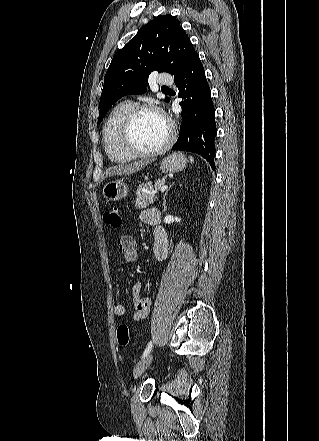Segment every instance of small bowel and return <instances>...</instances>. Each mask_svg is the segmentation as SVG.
<instances>
[{
    "label": "small bowel",
    "instance_id": "c3829d8e",
    "mask_svg": "<svg viewBox=\"0 0 319 441\" xmlns=\"http://www.w3.org/2000/svg\"><path fill=\"white\" fill-rule=\"evenodd\" d=\"M140 219L145 224L153 227L154 243L153 254L157 261H164L168 254V237L165 229L161 225V213L155 208L146 209L141 212ZM118 250L123 254L127 262H134L138 257V245L135 239L130 235H122L116 240ZM142 285L135 282L131 286V295L134 304L132 319L141 321L145 319L149 313L151 306V298L141 295ZM114 314L122 317L126 314V307L123 304L114 306Z\"/></svg>",
    "mask_w": 319,
    "mask_h": 441
}]
</instances>
